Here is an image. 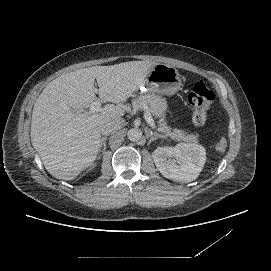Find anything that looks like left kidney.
Wrapping results in <instances>:
<instances>
[{"instance_id":"left-kidney-1","label":"left kidney","mask_w":271,"mask_h":271,"mask_svg":"<svg viewBox=\"0 0 271 271\" xmlns=\"http://www.w3.org/2000/svg\"><path fill=\"white\" fill-rule=\"evenodd\" d=\"M153 160L164 177L188 183L202 171L206 151L202 145L179 143L175 147H158L153 152Z\"/></svg>"}]
</instances>
